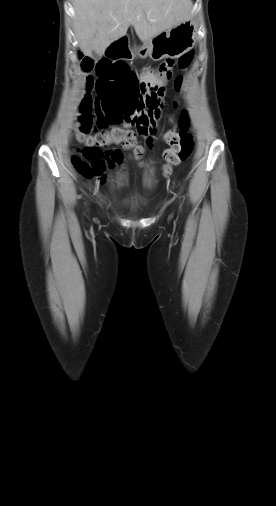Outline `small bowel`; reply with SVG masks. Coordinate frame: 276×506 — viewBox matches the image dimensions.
Masks as SVG:
<instances>
[{
	"label": "small bowel",
	"mask_w": 276,
	"mask_h": 506,
	"mask_svg": "<svg viewBox=\"0 0 276 506\" xmlns=\"http://www.w3.org/2000/svg\"><path fill=\"white\" fill-rule=\"evenodd\" d=\"M141 80L142 81H149L151 82L152 84L156 85V86H161L164 88L165 86V83H166V75L161 73V72H155L153 70H151L150 68H146L143 72H142V77H141ZM160 113H161V110L158 111L157 115L154 117L153 119V122H152V128L149 130L150 133H155L156 131V125L158 123V120L160 118ZM146 134V133H144ZM120 159V153H115L113 154L107 161H112V162H115V161H118ZM99 182L100 183H103L104 180H105V177L103 175H100V177L98 178Z\"/></svg>",
	"instance_id": "obj_1"
}]
</instances>
